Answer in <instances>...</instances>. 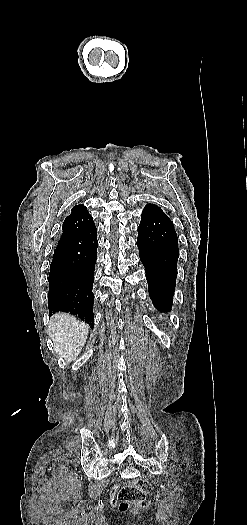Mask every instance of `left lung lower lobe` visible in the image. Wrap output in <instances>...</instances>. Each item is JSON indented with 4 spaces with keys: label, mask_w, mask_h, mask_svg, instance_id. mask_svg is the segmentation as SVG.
I'll use <instances>...</instances> for the list:
<instances>
[{
    "label": "left lung lower lobe",
    "mask_w": 247,
    "mask_h": 525,
    "mask_svg": "<svg viewBox=\"0 0 247 525\" xmlns=\"http://www.w3.org/2000/svg\"><path fill=\"white\" fill-rule=\"evenodd\" d=\"M137 246L152 303L157 310L168 312L173 302L179 257L178 237L171 220L142 214Z\"/></svg>",
    "instance_id": "obj_1"
}]
</instances>
